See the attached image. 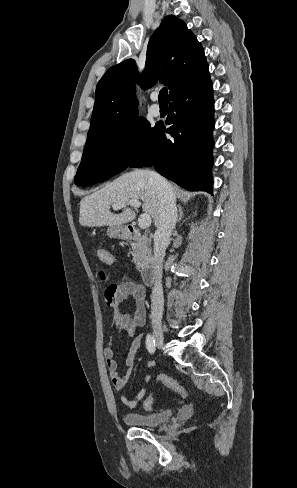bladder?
Instances as JSON below:
<instances>
[{"mask_svg":"<svg viewBox=\"0 0 297 488\" xmlns=\"http://www.w3.org/2000/svg\"><path fill=\"white\" fill-rule=\"evenodd\" d=\"M172 416L171 410L158 413H126L123 416L124 422L132 427L153 428L167 422Z\"/></svg>","mask_w":297,"mask_h":488,"instance_id":"bladder-1","label":"bladder"}]
</instances>
